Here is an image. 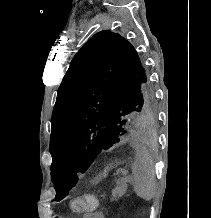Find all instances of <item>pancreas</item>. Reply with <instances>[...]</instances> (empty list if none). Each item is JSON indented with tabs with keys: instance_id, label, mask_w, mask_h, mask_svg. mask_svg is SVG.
<instances>
[{
	"instance_id": "obj_1",
	"label": "pancreas",
	"mask_w": 211,
	"mask_h": 218,
	"mask_svg": "<svg viewBox=\"0 0 211 218\" xmlns=\"http://www.w3.org/2000/svg\"><path fill=\"white\" fill-rule=\"evenodd\" d=\"M130 180V178H128ZM127 180H117V186L112 190V196L113 200H118V198H121L123 194H125L127 190Z\"/></svg>"
}]
</instances>
